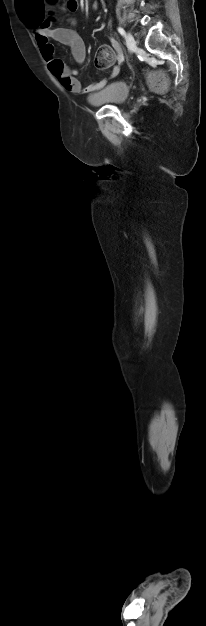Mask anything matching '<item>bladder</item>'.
<instances>
[{"label": "bladder", "mask_w": 206, "mask_h": 626, "mask_svg": "<svg viewBox=\"0 0 206 626\" xmlns=\"http://www.w3.org/2000/svg\"><path fill=\"white\" fill-rule=\"evenodd\" d=\"M130 88L122 81H114L107 84L101 90L91 94L88 102L96 107L100 106H120L129 97Z\"/></svg>", "instance_id": "1"}]
</instances>
